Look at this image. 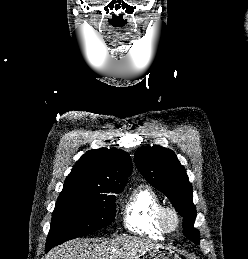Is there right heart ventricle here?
I'll return each instance as SVG.
<instances>
[{"label":"right heart ventricle","mask_w":248,"mask_h":259,"mask_svg":"<svg viewBox=\"0 0 248 259\" xmlns=\"http://www.w3.org/2000/svg\"><path fill=\"white\" fill-rule=\"evenodd\" d=\"M163 202L149 186L140 185L132 191L124 205V225L133 232L152 238H162L167 233L160 224L159 214Z\"/></svg>","instance_id":"1"}]
</instances>
